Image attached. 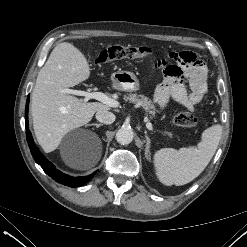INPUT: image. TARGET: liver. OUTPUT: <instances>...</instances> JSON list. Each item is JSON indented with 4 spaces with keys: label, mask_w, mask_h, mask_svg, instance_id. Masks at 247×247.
Listing matches in <instances>:
<instances>
[{
    "label": "liver",
    "mask_w": 247,
    "mask_h": 247,
    "mask_svg": "<svg viewBox=\"0 0 247 247\" xmlns=\"http://www.w3.org/2000/svg\"><path fill=\"white\" fill-rule=\"evenodd\" d=\"M89 76L87 59L68 42L58 44L39 71L31 97V113L37 141L45 152L54 151L68 132L86 125L95 112L110 109L106 104L85 102L63 92ZM100 157L101 147L86 160H67L66 163L75 169H89Z\"/></svg>",
    "instance_id": "liver-1"
}]
</instances>
